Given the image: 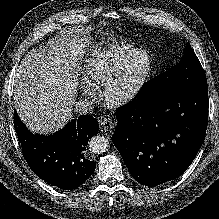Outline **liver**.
Here are the masks:
<instances>
[{
	"label": "liver",
	"mask_w": 219,
	"mask_h": 219,
	"mask_svg": "<svg viewBox=\"0 0 219 219\" xmlns=\"http://www.w3.org/2000/svg\"><path fill=\"white\" fill-rule=\"evenodd\" d=\"M68 31L48 47L28 52L14 80V102L20 119L34 133L51 134L72 118L77 88L73 68L86 46Z\"/></svg>",
	"instance_id": "liver-1"
}]
</instances>
